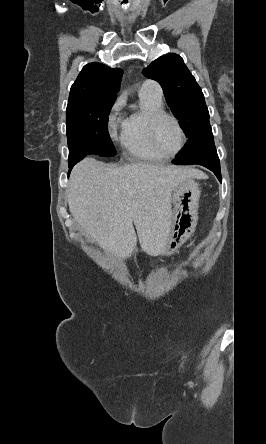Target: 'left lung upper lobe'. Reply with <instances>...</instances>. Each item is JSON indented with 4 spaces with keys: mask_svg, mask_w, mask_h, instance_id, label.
<instances>
[{
    "mask_svg": "<svg viewBox=\"0 0 266 444\" xmlns=\"http://www.w3.org/2000/svg\"><path fill=\"white\" fill-rule=\"evenodd\" d=\"M142 73L160 83L169 107L188 138L210 127L202 90L179 55L161 56Z\"/></svg>",
    "mask_w": 266,
    "mask_h": 444,
    "instance_id": "obj_1",
    "label": "left lung upper lobe"
}]
</instances>
